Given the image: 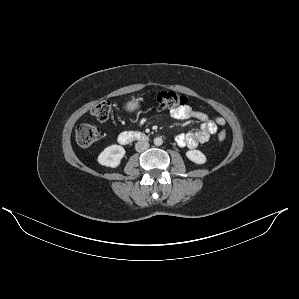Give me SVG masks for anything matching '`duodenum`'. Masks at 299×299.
Masks as SVG:
<instances>
[{
    "label": "duodenum",
    "mask_w": 299,
    "mask_h": 299,
    "mask_svg": "<svg viewBox=\"0 0 299 299\" xmlns=\"http://www.w3.org/2000/svg\"><path fill=\"white\" fill-rule=\"evenodd\" d=\"M148 136L140 132H123L119 135L118 141L121 144H127L131 141H147Z\"/></svg>",
    "instance_id": "duodenum-1"
}]
</instances>
